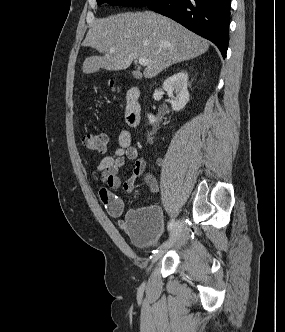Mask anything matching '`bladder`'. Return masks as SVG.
<instances>
[{
    "instance_id": "obj_1",
    "label": "bladder",
    "mask_w": 285,
    "mask_h": 332,
    "mask_svg": "<svg viewBox=\"0 0 285 332\" xmlns=\"http://www.w3.org/2000/svg\"><path fill=\"white\" fill-rule=\"evenodd\" d=\"M124 229L131 243L143 250L165 249L168 244L160 242L163 218L160 209L147 205L129 211L124 220Z\"/></svg>"
}]
</instances>
